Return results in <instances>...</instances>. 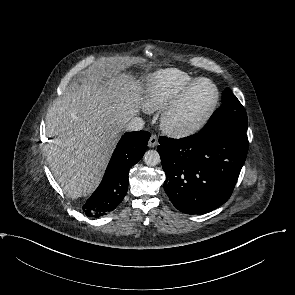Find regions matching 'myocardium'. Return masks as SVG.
Instances as JSON below:
<instances>
[{
	"instance_id": "1",
	"label": "myocardium",
	"mask_w": 295,
	"mask_h": 295,
	"mask_svg": "<svg viewBox=\"0 0 295 295\" xmlns=\"http://www.w3.org/2000/svg\"><path fill=\"white\" fill-rule=\"evenodd\" d=\"M201 82L210 83L215 91L214 100L206 112V114L198 121L183 125L177 120V115L185 103L186 99L190 93L195 89V87ZM220 101V91L218 86L209 78L200 77L188 84L181 93L168 105L161 117V125L163 130L172 137L175 138H186L197 134L202 129H204L208 123L213 118Z\"/></svg>"
}]
</instances>
